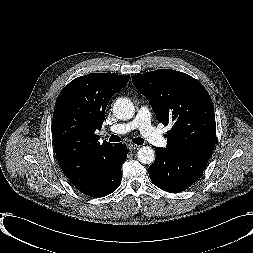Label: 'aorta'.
<instances>
[{
  "instance_id": "aorta-1",
  "label": "aorta",
  "mask_w": 253,
  "mask_h": 253,
  "mask_svg": "<svg viewBox=\"0 0 253 253\" xmlns=\"http://www.w3.org/2000/svg\"><path fill=\"white\" fill-rule=\"evenodd\" d=\"M113 114L120 120L131 119L135 114L134 105L128 98H118L113 105ZM137 157L142 164H152L155 151L151 147L143 146L138 150Z\"/></svg>"
}]
</instances>
